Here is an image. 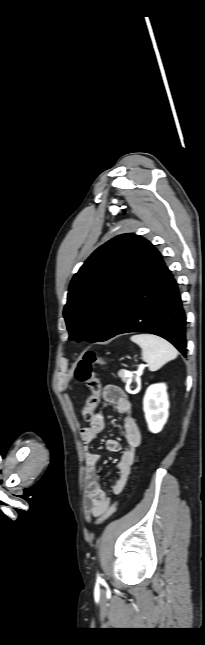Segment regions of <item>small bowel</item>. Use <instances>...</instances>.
<instances>
[{
  "mask_svg": "<svg viewBox=\"0 0 205 645\" xmlns=\"http://www.w3.org/2000/svg\"><path fill=\"white\" fill-rule=\"evenodd\" d=\"M114 405L119 415L123 417L126 445L122 450L119 462L117 463V477L110 486L107 493L101 487L96 467L100 456L89 449L85 452V500L84 510L86 517H99L110 504V494L118 495L122 492L131 472V467L136 461L137 449L141 443V433L135 419L131 415V402L124 392L114 385L104 387L102 398H99L98 406ZM105 418L102 412L93 414L90 425L81 430V439L86 446L92 444L97 436L104 430ZM106 447L109 451L118 452L121 444L116 439H107Z\"/></svg>",
  "mask_w": 205,
  "mask_h": 645,
  "instance_id": "1",
  "label": "small bowel"
}]
</instances>
